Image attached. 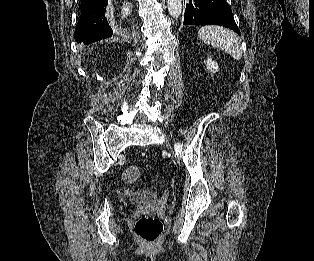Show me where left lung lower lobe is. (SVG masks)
Listing matches in <instances>:
<instances>
[{"label": "left lung lower lobe", "mask_w": 314, "mask_h": 261, "mask_svg": "<svg viewBox=\"0 0 314 261\" xmlns=\"http://www.w3.org/2000/svg\"><path fill=\"white\" fill-rule=\"evenodd\" d=\"M215 24L230 28L240 35L226 0H188L184 25Z\"/></svg>", "instance_id": "0a47b994"}]
</instances>
